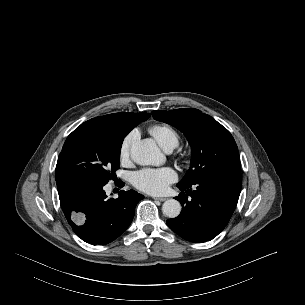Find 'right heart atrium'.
Instances as JSON below:
<instances>
[{"label": "right heart atrium", "instance_id": "obj_1", "mask_svg": "<svg viewBox=\"0 0 305 305\" xmlns=\"http://www.w3.org/2000/svg\"><path fill=\"white\" fill-rule=\"evenodd\" d=\"M135 139V132H131L123 139L119 149V157L122 163H126L129 161L131 155V148Z\"/></svg>", "mask_w": 305, "mask_h": 305}]
</instances>
